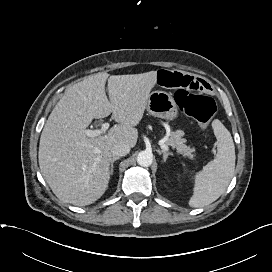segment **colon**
Listing matches in <instances>:
<instances>
[{
	"instance_id": "5ec220e1",
	"label": "colon",
	"mask_w": 272,
	"mask_h": 272,
	"mask_svg": "<svg viewBox=\"0 0 272 272\" xmlns=\"http://www.w3.org/2000/svg\"><path fill=\"white\" fill-rule=\"evenodd\" d=\"M174 99L180 109L195 119L202 128L208 126L217 111L214 100L206 95L179 89L174 93Z\"/></svg>"
}]
</instances>
